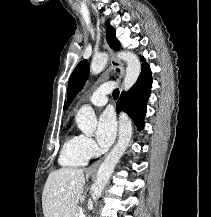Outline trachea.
<instances>
[{
	"label": "trachea",
	"mask_w": 211,
	"mask_h": 217,
	"mask_svg": "<svg viewBox=\"0 0 211 217\" xmlns=\"http://www.w3.org/2000/svg\"><path fill=\"white\" fill-rule=\"evenodd\" d=\"M118 96H119V90H118V89H115V90L113 91V97H114V98H118Z\"/></svg>",
	"instance_id": "3493384b"
}]
</instances>
